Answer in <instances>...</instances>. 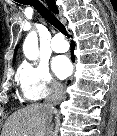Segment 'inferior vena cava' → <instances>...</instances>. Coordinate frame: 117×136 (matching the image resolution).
<instances>
[{
    "label": "inferior vena cava",
    "mask_w": 117,
    "mask_h": 136,
    "mask_svg": "<svg viewBox=\"0 0 117 136\" xmlns=\"http://www.w3.org/2000/svg\"><path fill=\"white\" fill-rule=\"evenodd\" d=\"M65 97V91L60 83H53L52 91L46 98L44 105L47 107L46 113V136H57L55 127L54 106L60 103Z\"/></svg>",
    "instance_id": "inferior-vena-cava-1"
}]
</instances>
